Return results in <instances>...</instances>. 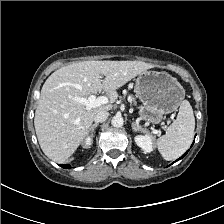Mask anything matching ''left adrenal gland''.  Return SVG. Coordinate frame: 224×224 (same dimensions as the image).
<instances>
[{
    "label": "left adrenal gland",
    "mask_w": 224,
    "mask_h": 224,
    "mask_svg": "<svg viewBox=\"0 0 224 224\" xmlns=\"http://www.w3.org/2000/svg\"><path fill=\"white\" fill-rule=\"evenodd\" d=\"M131 127H132V130H133L134 132H137V131H141V132H143V133H146V132H147L146 129L142 128L141 126H139V125L136 124L135 122H132Z\"/></svg>",
    "instance_id": "obj_1"
}]
</instances>
